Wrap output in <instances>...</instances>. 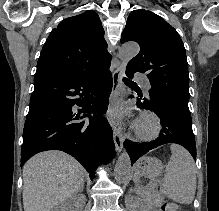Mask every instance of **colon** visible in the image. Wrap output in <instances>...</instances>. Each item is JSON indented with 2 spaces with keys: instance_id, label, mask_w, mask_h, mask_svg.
Listing matches in <instances>:
<instances>
[{
  "instance_id": "colon-1",
  "label": "colon",
  "mask_w": 219,
  "mask_h": 211,
  "mask_svg": "<svg viewBox=\"0 0 219 211\" xmlns=\"http://www.w3.org/2000/svg\"><path fill=\"white\" fill-rule=\"evenodd\" d=\"M161 211H179V210L176 204L165 201L161 204Z\"/></svg>"
}]
</instances>
